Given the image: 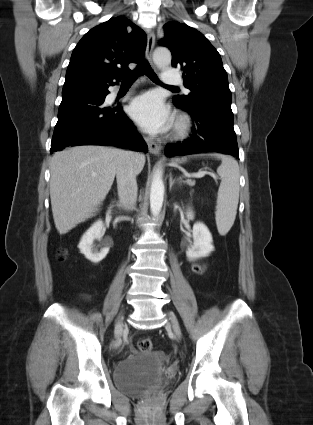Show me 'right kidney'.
Returning <instances> with one entry per match:
<instances>
[{
    "mask_svg": "<svg viewBox=\"0 0 313 425\" xmlns=\"http://www.w3.org/2000/svg\"><path fill=\"white\" fill-rule=\"evenodd\" d=\"M103 234V223L101 220H98L85 232L78 245L80 252L93 263L103 260L109 252L108 245H105L99 251L93 248L94 240H100Z\"/></svg>",
    "mask_w": 313,
    "mask_h": 425,
    "instance_id": "obj_1",
    "label": "right kidney"
}]
</instances>
